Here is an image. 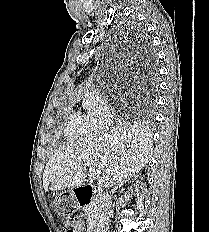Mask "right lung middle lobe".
<instances>
[{
	"mask_svg": "<svg viewBox=\"0 0 209 232\" xmlns=\"http://www.w3.org/2000/svg\"><path fill=\"white\" fill-rule=\"evenodd\" d=\"M148 115H147V119L149 120V121H151V119H152V113L151 112H149V113H147Z\"/></svg>",
	"mask_w": 209,
	"mask_h": 232,
	"instance_id": "right-lung-middle-lobe-1",
	"label": "right lung middle lobe"
}]
</instances>
